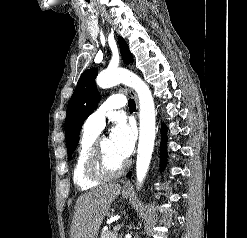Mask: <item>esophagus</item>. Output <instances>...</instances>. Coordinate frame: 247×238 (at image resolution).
I'll return each instance as SVG.
<instances>
[{"label":"esophagus","instance_id":"34e87169","mask_svg":"<svg viewBox=\"0 0 247 238\" xmlns=\"http://www.w3.org/2000/svg\"><path fill=\"white\" fill-rule=\"evenodd\" d=\"M128 91H129L130 95L134 98V100H135V102H136V104H137V106H138V98H137L136 93H135V92L133 91V89H131V88H129ZM131 187H132V186H131L130 181H126V182L124 183V188H125V189H130Z\"/></svg>","mask_w":247,"mask_h":238}]
</instances>
